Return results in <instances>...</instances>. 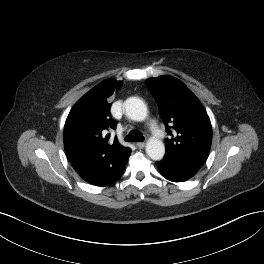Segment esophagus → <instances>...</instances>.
Returning <instances> with one entry per match:
<instances>
[{"label": "esophagus", "instance_id": "34e87169", "mask_svg": "<svg viewBox=\"0 0 264 264\" xmlns=\"http://www.w3.org/2000/svg\"><path fill=\"white\" fill-rule=\"evenodd\" d=\"M145 145H146L145 142H137V143H136V146H137V148H139V149H143V148L145 147Z\"/></svg>", "mask_w": 264, "mask_h": 264}]
</instances>
